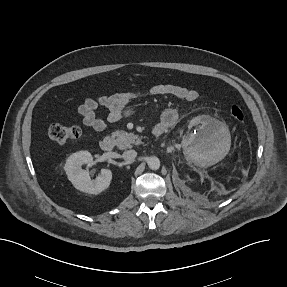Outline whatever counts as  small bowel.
Returning <instances> with one entry per match:
<instances>
[{"label":"small bowel","mask_w":287,"mask_h":287,"mask_svg":"<svg viewBox=\"0 0 287 287\" xmlns=\"http://www.w3.org/2000/svg\"><path fill=\"white\" fill-rule=\"evenodd\" d=\"M145 96H169L186 102H194L199 94L195 89L177 84L159 83L152 85L145 92L124 91L112 95H100L95 98H87L78 106V114L82 117V122L86 127L97 132H103L109 124L118 122L125 115L130 114L133 109L129 104L136 99ZM106 109L105 117L99 115L100 109ZM178 119V112L175 108L165 109L155 125H161L166 131L173 126ZM154 127V128H155Z\"/></svg>","instance_id":"c3829d8e"}]
</instances>
